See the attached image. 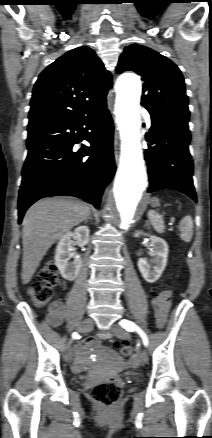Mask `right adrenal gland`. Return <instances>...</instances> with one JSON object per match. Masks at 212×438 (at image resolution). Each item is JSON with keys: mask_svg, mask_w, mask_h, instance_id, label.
Wrapping results in <instances>:
<instances>
[{"mask_svg": "<svg viewBox=\"0 0 212 438\" xmlns=\"http://www.w3.org/2000/svg\"><path fill=\"white\" fill-rule=\"evenodd\" d=\"M88 220H93L91 212L89 213V216L85 219V222L87 223Z\"/></svg>", "mask_w": 212, "mask_h": 438, "instance_id": "2a0ac1e0", "label": "right adrenal gland"}]
</instances>
